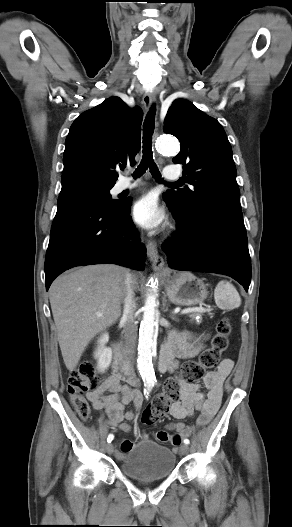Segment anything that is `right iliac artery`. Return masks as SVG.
Masks as SVG:
<instances>
[{"instance_id":"obj_1","label":"right iliac artery","mask_w":292,"mask_h":527,"mask_svg":"<svg viewBox=\"0 0 292 527\" xmlns=\"http://www.w3.org/2000/svg\"><path fill=\"white\" fill-rule=\"evenodd\" d=\"M151 388H152V386L148 385L147 388L144 390V394H146V397H148V394L151 391ZM113 439H114V435L113 434H109L108 438H107V441L111 442Z\"/></svg>"}]
</instances>
